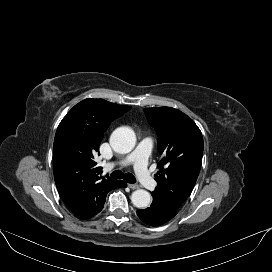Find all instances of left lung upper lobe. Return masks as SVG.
I'll return each mask as SVG.
<instances>
[{"mask_svg":"<svg viewBox=\"0 0 272 272\" xmlns=\"http://www.w3.org/2000/svg\"><path fill=\"white\" fill-rule=\"evenodd\" d=\"M145 115L159 136L163 154L156 174L157 187L152 196L179 209L190 195L203 156V137L195 122L171 107L145 108Z\"/></svg>","mask_w":272,"mask_h":272,"instance_id":"obj_1","label":"left lung upper lobe"}]
</instances>
